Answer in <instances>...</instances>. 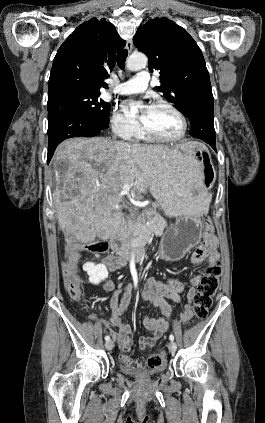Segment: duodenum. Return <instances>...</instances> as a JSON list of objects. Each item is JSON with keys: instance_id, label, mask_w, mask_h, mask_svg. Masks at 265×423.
Masks as SVG:
<instances>
[{"instance_id": "1", "label": "duodenum", "mask_w": 265, "mask_h": 423, "mask_svg": "<svg viewBox=\"0 0 265 423\" xmlns=\"http://www.w3.org/2000/svg\"><path fill=\"white\" fill-rule=\"evenodd\" d=\"M111 249L119 256L122 263H126L130 260L139 261L145 255L144 243L141 238L137 239L134 245V257L132 258L129 248L126 246L123 233L121 231L116 232L110 239Z\"/></svg>"}]
</instances>
